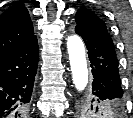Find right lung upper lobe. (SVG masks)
<instances>
[{
	"label": "right lung upper lobe",
	"instance_id": "cb5924a9",
	"mask_svg": "<svg viewBox=\"0 0 133 118\" xmlns=\"http://www.w3.org/2000/svg\"><path fill=\"white\" fill-rule=\"evenodd\" d=\"M36 39L28 10L22 1L0 16V58Z\"/></svg>",
	"mask_w": 133,
	"mask_h": 118
}]
</instances>
